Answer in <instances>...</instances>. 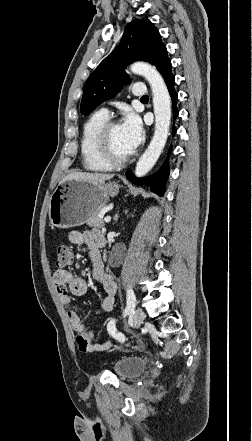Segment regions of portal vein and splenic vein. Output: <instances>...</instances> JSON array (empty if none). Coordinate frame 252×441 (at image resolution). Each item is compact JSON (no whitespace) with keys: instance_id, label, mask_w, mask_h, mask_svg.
<instances>
[{"instance_id":"portal-vein-and-splenic-vein-1","label":"portal vein and splenic vein","mask_w":252,"mask_h":441,"mask_svg":"<svg viewBox=\"0 0 252 441\" xmlns=\"http://www.w3.org/2000/svg\"><path fill=\"white\" fill-rule=\"evenodd\" d=\"M104 221H105L106 223L110 222V221H111V217H110V216L105 217V218H104Z\"/></svg>"}]
</instances>
